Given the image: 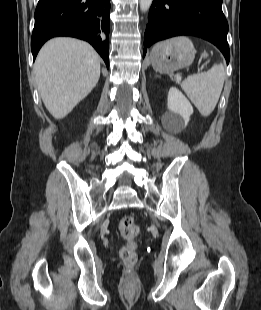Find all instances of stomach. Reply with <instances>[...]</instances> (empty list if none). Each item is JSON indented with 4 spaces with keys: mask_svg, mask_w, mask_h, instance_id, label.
<instances>
[{
    "mask_svg": "<svg viewBox=\"0 0 261 310\" xmlns=\"http://www.w3.org/2000/svg\"><path fill=\"white\" fill-rule=\"evenodd\" d=\"M195 47L186 37H177L156 45L150 54L153 69L173 72L188 67L195 58Z\"/></svg>",
    "mask_w": 261,
    "mask_h": 310,
    "instance_id": "1",
    "label": "stomach"
}]
</instances>
